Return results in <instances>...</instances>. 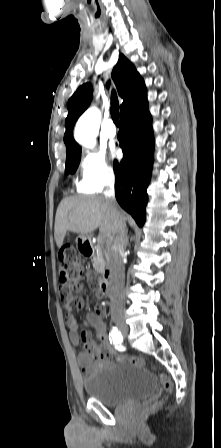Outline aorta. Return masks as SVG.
<instances>
[{"mask_svg":"<svg viewBox=\"0 0 221 448\" xmlns=\"http://www.w3.org/2000/svg\"><path fill=\"white\" fill-rule=\"evenodd\" d=\"M100 120L101 116L98 109H88L76 123L75 140L87 148H93L96 144Z\"/></svg>","mask_w":221,"mask_h":448,"instance_id":"1","label":"aorta"}]
</instances>
